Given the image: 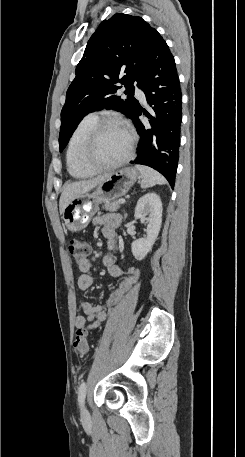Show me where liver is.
Returning a JSON list of instances; mask_svg holds the SVG:
<instances>
[{
    "label": "liver",
    "mask_w": 245,
    "mask_h": 457,
    "mask_svg": "<svg viewBox=\"0 0 245 457\" xmlns=\"http://www.w3.org/2000/svg\"><path fill=\"white\" fill-rule=\"evenodd\" d=\"M109 174H103V176H97V178H90V180H78V182H70L66 188H64L61 196H60V214H63L65 206H67L68 202L74 200L78 194H82V192H87V190H91L103 180H106Z\"/></svg>",
    "instance_id": "6515ba94"
}]
</instances>
